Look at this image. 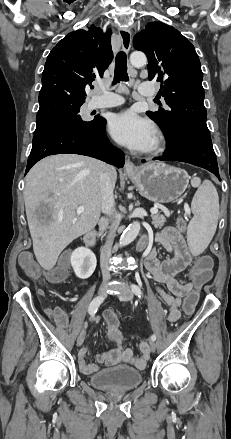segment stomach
Wrapping results in <instances>:
<instances>
[{
  "mask_svg": "<svg viewBox=\"0 0 231 439\" xmlns=\"http://www.w3.org/2000/svg\"><path fill=\"white\" fill-rule=\"evenodd\" d=\"M127 175L143 197L156 203L177 200L189 183L186 171L161 163L146 164L133 172H127Z\"/></svg>",
  "mask_w": 231,
  "mask_h": 439,
  "instance_id": "1",
  "label": "stomach"
}]
</instances>
